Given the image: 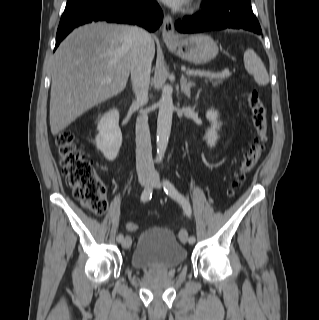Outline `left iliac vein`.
Listing matches in <instances>:
<instances>
[{"label":"left iliac vein","instance_id":"1","mask_svg":"<svg viewBox=\"0 0 319 320\" xmlns=\"http://www.w3.org/2000/svg\"><path fill=\"white\" fill-rule=\"evenodd\" d=\"M151 186L154 187V188H160L161 187V183H160V180H159L158 176H153V178L151 180ZM179 237H180V240L183 243H187L188 234H187V231L185 229H183L181 231Z\"/></svg>","mask_w":319,"mask_h":320}]
</instances>
